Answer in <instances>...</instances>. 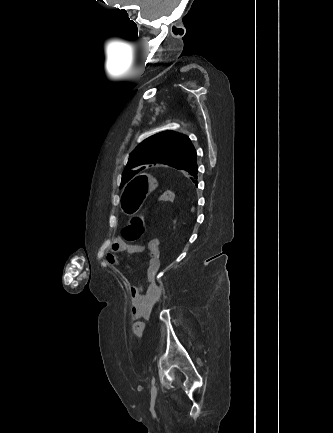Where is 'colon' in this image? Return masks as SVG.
<instances>
[{
  "label": "colon",
  "mask_w": 333,
  "mask_h": 433,
  "mask_svg": "<svg viewBox=\"0 0 333 433\" xmlns=\"http://www.w3.org/2000/svg\"><path fill=\"white\" fill-rule=\"evenodd\" d=\"M159 200L172 202L174 195L167 191L160 195ZM145 223L143 215L133 216L123 227L122 237L125 241L133 243L138 241L144 234Z\"/></svg>",
  "instance_id": "1"
}]
</instances>
